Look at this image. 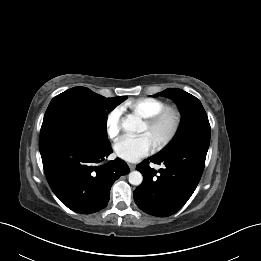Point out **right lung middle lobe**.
<instances>
[{
	"instance_id": "obj_1",
	"label": "right lung middle lobe",
	"mask_w": 261,
	"mask_h": 261,
	"mask_svg": "<svg viewBox=\"0 0 261 261\" xmlns=\"http://www.w3.org/2000/svg\"><path fill=\"white\" fill-rule=\"evenodd\" d=\"M126 98H105L88 88L80 87L74 92L76 105L73 113L80 116L88 135L98 141L109 143L106 128L107 115ZM68 112L69 110L64 105L47 109L41 132L62 126Z\"/></svg>"
}]
</instances>
